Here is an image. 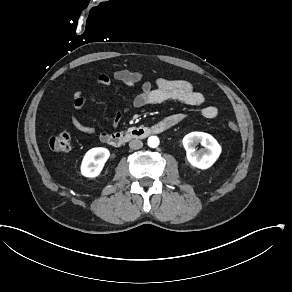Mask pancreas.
Listing matches in <instances>:
<instances>
[{
  "label": "pancreas",
  "instance_id": "1",
  "mask_svg": "<svg viewBox=\"0 0 292 292\" xmlns=\"http://www.w3.org/2000/svg\"><path fill=\"white\" fill-rule=\"evenodd\" d=\"M129 132V130L127 129V130H125V133L127 134Z\"/></svg>",
  "mask_w": 292,
  "mask_h": 292
}]
</instances>
